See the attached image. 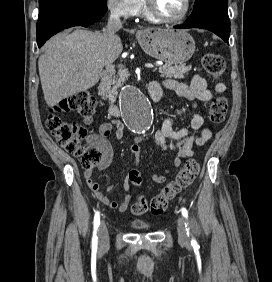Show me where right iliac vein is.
Wrapping results in <instances>:
<instances>
[{"label":"right iliac vein","instance_id":"63e3f726","mask_svg":"<svg viewBox=\"0 0 272 282\" xmlns=\"http://www.w3.org/2000/svg\"><path fill=\"white\" fill-rule=\"evenodd\" d=\"M99 245L100 247H106L109 242L108 230L104 221L99 226Z\"/></svg>","mask_w":272,"mask_h":282}]
</instances>
